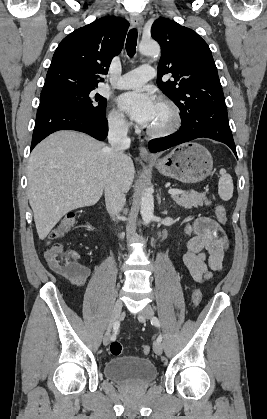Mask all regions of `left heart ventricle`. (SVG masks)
<instances>
[{
  "label": "left heart ventricle",
  "instance_id": "obj_1",
  "mask_svg": "<svg viewBox=\"0 0 267 419\" xmlns=\"http://www.w3.org/2000/svg\"><path fill=\"white\" fill-rule=\"evenodd\" d=\"M172 120V115L168 107L157 102L153 117L147 127L161 128L168 125Z\"/></svg>",
  "mask_w": 267,
  "mask_h": 419
}]
</instances>
